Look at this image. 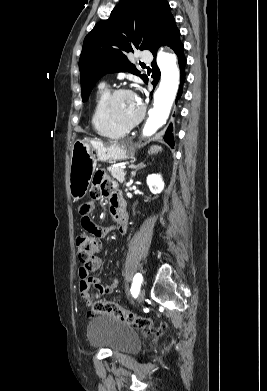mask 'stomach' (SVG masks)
<instances>
[{
    "label": "stomach",
    "instance_id": "0dacf381",
    "mask_svg": "<svg viewBox=\"0 0 267 391\" xmlns=\"http://www.w3.org/2000/svg\"><path fill=\"white\" fill-rule=\"evenodd\" d=\"M130 152L125 145H105L99 140L83 139L73 143L69 171V191L74 200L84 197L91 183L97 161H120Z\"/></svg>",
    "mask_w": 267,
    "mask_h": 391
}]
</instances>
